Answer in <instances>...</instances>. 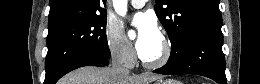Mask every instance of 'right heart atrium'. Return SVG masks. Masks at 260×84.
I'll return each instance as SVG.
<instances>
[{
	"instance_id": "right-heart-atrium-1",
	"label": "right heart atrium",
	"mask_w": 260,
	"mask_h": 84,
	"mask_svg": "<svg viewBox=\"0 0 260 84\" xmlns=\"http://www.w3.org/2000/svg\"><path fill=\"white\" fill-rule=\"evenodd\" d=\"M106 47L111 57L124 66H131L135 61V52L126 41L119 26L108 22L105 27Z\"/></svg>"
}]
</instances>
